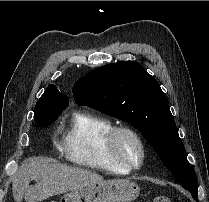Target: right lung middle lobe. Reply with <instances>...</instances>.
Wrapping results in <instances>:
<instances>
[{"instance_id": "1", "label": "right lung middle lobe", "mask_w": 209, "mask_h": 202, "mask_svg": "<svg viewBox=\"0 0 209 202\" xmlns=\"http://www.w3.org/2000/svg\"><path fill=\"white\" fill-rule=\"evenodd\" d=\"M41 101L37 102L34 111V120L38 126L47 127L51 125L62 113L65 108L54 107L44 97Z\"/></svg>"}]
</instances>
